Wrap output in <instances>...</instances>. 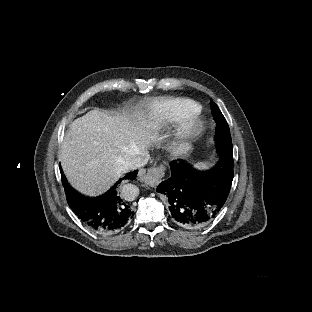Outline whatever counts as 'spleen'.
I'll use <instances>...</instances> for the list:
<instances>
[{
	"instance_id": "spleen-1",
	"label": "spleen",
	"mask_w": 312,
	"mask_h": 312,
	"mask_svg": "<svg viewBox=\"0 0 312 312\" xmlns=\"http://www.w3.org/2000/svg\"><path fill=\"white\" fill-rule=\"evenodd\" d=\"M210 164V162H199L196 164V166L198 167H205V166H208Z\"/></svg>"
}]
</instances>
